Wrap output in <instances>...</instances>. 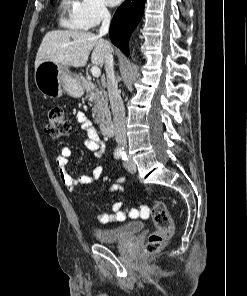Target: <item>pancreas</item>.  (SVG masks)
<instances>
[{"label":"pancreas","mask_w":247,"mask_h":296,"mask_svg":"<svg viewBox=\"0 0 247 296\" xmlns=\"http://www.w3.org/2000/svg\"><path fill=\"white\" fill-rule=\"evenodd\" d=\"M86 97L93 103L92 117L95 123L101 124L106 118H110L108 99L104 89L88 90Z\"/></svg>","instance_id":"1"}]
</instances>
